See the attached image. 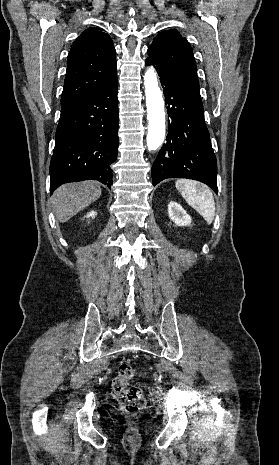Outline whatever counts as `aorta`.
<instances>
[{
	"label": "aorta",
	"instance_id": "762f6f07",
	"mask_svg": "<svg viewBox=\"0 0 279 465\" xmlns=\"http://www.w3.org/2000/svg\"><path fill=\"white\" fill-rule=\"evenodd\" d=\"M146 106L148 113L147 147L150 151L158 149L165 137V111L162 92L158 87L157 75L149 67L144 75Z\"/></svg>",
	"mask_w": 279,
	"mask_h": 465
}]
</instances>
